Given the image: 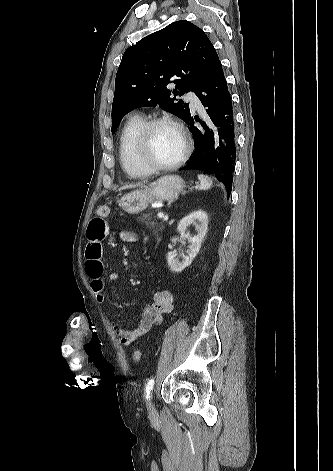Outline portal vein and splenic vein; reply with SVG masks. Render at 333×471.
<instances>
[{
  "label": "portal vein and splenic vein",
  "mask_w": 333,
  "mask_h": 471,
  "mask_svg": "<svg viewBox=\"0 0 333 471\" xmlns=\"http://www.w3.org/2000/svg\"><path fill=\"white\" fill-rule=\"evenodd\" d=\"M157 216H158V218H160V219L168 220V217L165 216L164 213H162V212H159V213L157 214Z\"/></svg>",
  "instance_id": "obj_1"
}]
</instances>
